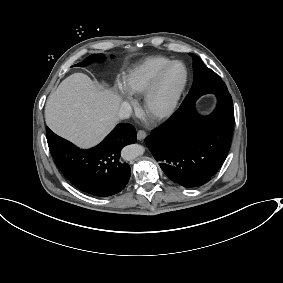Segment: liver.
<instances>
[{
  "label": "liver",
  "instance_id": "liver-1",
  "mask_svg": "<svg viewBox=\"0 0 283 283\" xmlns=\"http://www.w3.org/2000/svg\"><path fill=\"white\" fill-rule=\"evenodd\" d=\"M120 98L100 90L87 75L75 73L50 95L45 119L57 135L79 145L101 140L118 120Z\"/></svg>",
  "mask_w": 283,
  "mask_h": 283
}]
</instances>
